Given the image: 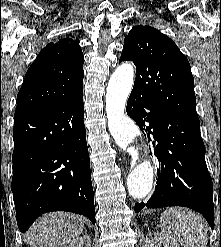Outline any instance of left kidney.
I'll return each mask as SVG.
<instances>
[{"label":"left kidney","instance_id":"left-kidney-1","mask_svg":"<svg viewBox=\"0 0 221 247\" xmlns=\"http://www.w3.org/2000/svg\"><path fill=\"white\" fill-rule=\"evenodd\" d=\"M161 243L164 244V247H178L176 242L171 241L162 233H154L153 236H149L147 239V247H158Z\"/></svg>","mask_w":221,"mask_h":247}]
</instances>
